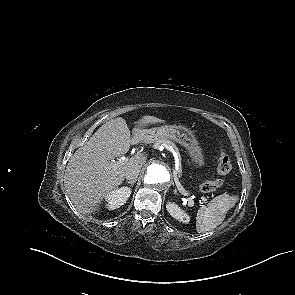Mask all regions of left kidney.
<instances>
[{
	"instance_id": "left-kidney-1",
	"label": "left kidney",
	"mask_w": 295,
	"mask_h": 295,
	"mask_svg": "<svg viewBox=\"0 0 295 295\" xmlns=\"http://www.w3.org/2000/svg\"><path fill=\"white\" fill-rule=\"evenodd\" d=\"M166 208L170 215L180 222L188 223L190 221L189 216L184 211H182L177 204L173 202H168Z\"/></svg>"
}]
</instances>
